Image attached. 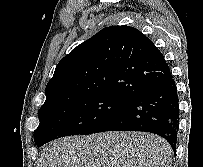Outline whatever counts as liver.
Returning a JSON list of instances; mask_svg holds the SVG:
<instances>
[{"instance_id":"obj_1","label":"liver","mask_w":203,"mask_h":167,"mask_svg":"<svg viewBox=\"0 0 203 167\" xmlns=\"http://www.w3.org/2000/svg\"><path fill=\"white\" fill-rule=\"evenodd\" d=\"M172 149L145 132L69 136L50 142L37 167H170Z\"/></svg>"}]
</instances>
